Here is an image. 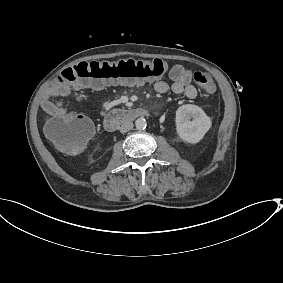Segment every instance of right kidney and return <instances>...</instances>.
I'll use <instances>...</instances> for the list:
<instances>
[{
    "label": "right kidney",
    "mask_w": 283,
    "mask_h": 283,
    "mask_svg": "<svg viewBox=\"0 0 283 283\" xmlns=\"http://www.w3.org/2000/svg\"><path fill=\"white\" fill-rule=\"evenodd\" d=\"M90 162H94V160H93V158H92V157L90 158Z\"/></svg>",
    "instance_id": "obj_1"
}]
</instances>
